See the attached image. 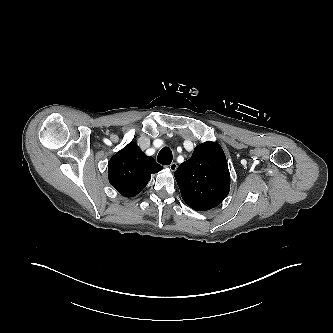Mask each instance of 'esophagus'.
Instances as JSON below:
<instances>
[{
	"label": "esophagus",
	"instance_id": "obj_1",
	"mask_svg": "<svg viewBox=\"0 0 333 333\" xmlns=\"http://www.w3.org/2000/svg\"><path fill=\"white\" fill-rule=\"evenodd\" d=\"M168 168L174 172L177 169V164L175 162H172L170 165H168Z\"/></svg>",
	"mask_w": 333,
	"mask_h": 333
}]
</instances>
